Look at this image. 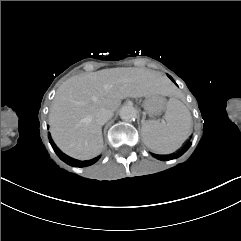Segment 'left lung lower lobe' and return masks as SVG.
<instances>
[{"label":"left lung lower lobe","instance_id":"obj_1","mask_svg":"<svg viewBox=\"0 0 241 241\" xmlns=\"http://www.w3.org/2000/svg\"><path fill=\"white\" fill-rule=\"evenodd\" d=\"M190 146H191V143L188 142V143L184 146V148H183L179 153H177V154L175 155V158H177V157L181 156L182 154H184V153L189 149ZM154 157H156V158L159 159V160H166V159H167V157L158 156V155H154Z\"/></svg>","mask_w":241,"mask_h":241}]
</instances>
